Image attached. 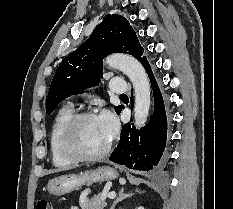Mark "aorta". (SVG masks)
I'll list each match as a JSON object with an SVG mask.
<instances>
[{"label": "aorta", "mask_w": 233, "mask_h": 209, "mask_svg": "<svg viewBox=\"0 0 233 209\" xmlns=\"http://www.w3.org/2000/svg\"><path fill=\"white\" fill-rule=\"evenodd\" d=\"M105 63L119 69L128 76L134 88V124L141 128L147 121L151 104V89L148 75L142 64L129 55L115 54L106 58Z\"/></svg>", "instance_id": "762f6f07"}]
</instances>
